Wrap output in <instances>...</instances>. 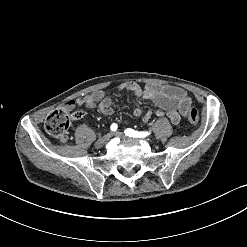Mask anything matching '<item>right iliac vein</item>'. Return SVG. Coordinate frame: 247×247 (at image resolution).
Wrapping results in <instances>:
<instances>
[{"instance_id":"63e3f726","label":"right iliac vein","mask_w":247,"mask_h":247,"mask_svg":"<svg viewBox=\"0 0 247 247\" xmlns=\"http://www.w3.org/2000/svg\"><path fill=\"white\" fill-rule=\"evenodd\" d=\"M112 136L111 133H108L106 135H104L103 137H100L96 143H95V147L97 148H101L105 145V143L110 139V137Z\"/></svg>"}]
</instances>
